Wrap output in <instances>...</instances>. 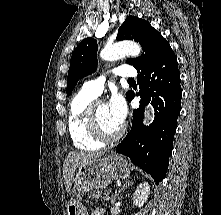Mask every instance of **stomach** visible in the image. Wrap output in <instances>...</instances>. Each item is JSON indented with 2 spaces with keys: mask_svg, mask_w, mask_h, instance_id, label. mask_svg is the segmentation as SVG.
Here are the masks:
<instances>
[{
  "mask_svg": "<svg viewBox=\"0 0 221 215\" xmlns=\"http://www.w3.org/2000/svg\"><path fill=\"white\" fill-rule=\"evenodd\" d=\"M130 172L127 160L113 153L81 164L72 180V192L76 198H71L67 203V215H88L80 201L82 196L90 189L105 188L114 179H127Z\"/></svg>",
  "mask_w": 221,
  "mask_h": 215,
  "instance_id": "stomach-1",
  "label": "stomach"
}]
</instances>
